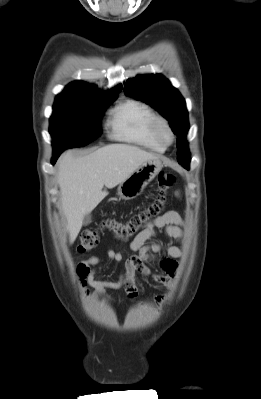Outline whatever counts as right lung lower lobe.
<instances>
[{"mask_svg": "<svg viewBox=\"0 0 261 399\" xmlns=\"http://www.w3.org/2000/svg\"><path fill=\"white\" fill-rule=\"evenodd\" d=\"M62 152H63L62 150H55V151H54L53 157H52V160H51V163H52V164H55V163H56V160L58 159V157L60 156V154H61Z\"/></svg>", "mask_w": 261, "mask_h": 399, "instance_id": "1", "label": "right lung lower lobe"}]
</instances>
